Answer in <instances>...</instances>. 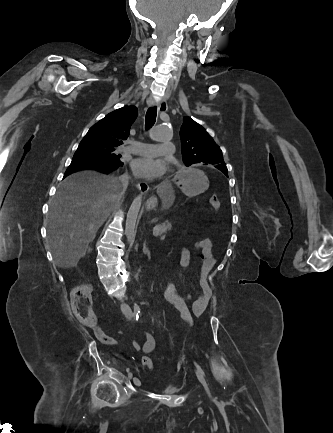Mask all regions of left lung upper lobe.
I'll return each mask as SVG.
<instances>
[{
	"mask_svg": "<svg viewBox=\"0 0 333 433\" xmlns=\"http://www.w3.org/2000/svg\"><path fill=\"white\" fill-rule=\"evenodd\" d=\"M180 137L183 161L186 166L213 164L228 176L220 148L200 124L190 117H184Z\"/></svg>",
	"mask_w": 333,
	"mask_h": 433,
	"instance_id": "left-lung-upper-lobe-1",
	"label": "left lung upper lobe"
}]
</instances>
